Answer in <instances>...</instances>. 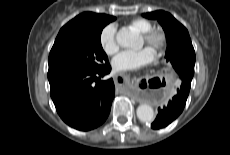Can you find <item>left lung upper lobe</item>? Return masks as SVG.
I'll list each match as a JSON object with an SVG mask.
<instances>
[{
    "mask_svg": "<svg viewBox=\"0 0 230 155\" xmlns=\"http://www.w3.org/2000/svg\"><path fill=\"white\" fill-rule=\"evenodd\" d=\"M148 19H156L163 27L166 39V60L170 62L181 79L194 75L195 51L187 29L170 13L158 10L144 13Z\"/></svg>",
    "mask_w": 230,
    "mask_h": 155,
    "instance_id": "obj_1",
    "label": "left lung upper lobe"
}]
</instances>
